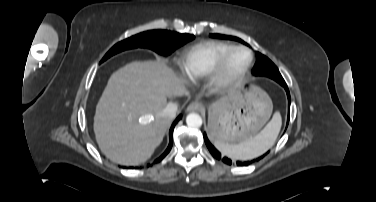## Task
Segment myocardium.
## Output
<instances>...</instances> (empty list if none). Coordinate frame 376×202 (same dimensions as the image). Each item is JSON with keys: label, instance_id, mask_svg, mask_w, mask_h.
Segmentation results:
<instances>
[{"label": "myocardium", "instance_id": "1", "mask_svg": "<svg viewBox=\"0 0 376 202\" xmlns=\"http://www.w3.org/2000/svg\"><path fill=\"white\" fill-rule=\"evenodd\" d=\"M246 52L249 59L246 65L236 74L230 75L226 72V65L230 57L236 52ZM253 62V54L250 49L244 46L236 45L228 49L219 58L215 67L208 76V83L212 90L221 92L237 85L248 73Z\"/></svg>", "mask_w": 376, "mask_h": 202}]
</instances>
